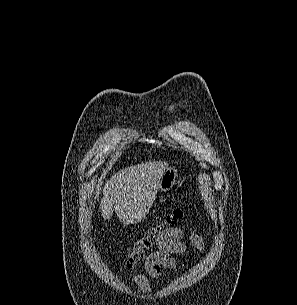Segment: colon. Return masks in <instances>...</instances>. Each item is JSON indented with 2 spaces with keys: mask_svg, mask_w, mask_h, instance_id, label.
I'll list each match as a JSON object with an SVG mask.
<instances>
[{
  "mask_svg": "<svg viewBox=\"0 0 297 305\" xmlns=\"http://www.w3.org/2000/svg\"><path fill=\"white\" fill-rule=\"evenodd\" d=\"M183 210L180 208L171 209L163 220L155 222L146 229L143 234L135 239L128 248V263L133 266L138 261L146 258L152 251L153 243L160 231L165 227L175 224L183 217Z\"/></svg>",
  "mask_w": 297,
  "mask_h": 305,
  "instance_id": "obj_1",
  "label": "colon"
}]
</instances>
